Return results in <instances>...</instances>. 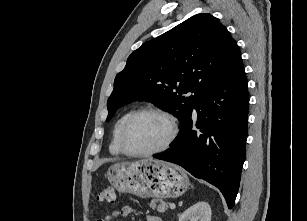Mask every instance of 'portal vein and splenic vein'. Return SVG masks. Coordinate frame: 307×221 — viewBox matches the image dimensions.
I'll return each instance as SVG.
<instances>
[{
  "instance_id": "portal-vein-and-splenic-vein-1",
  "label": "portal vein and splenic vein",
  "mask_w": 307,
  "mask_h": 221,
  "mask_svg": "<svg viewBox=\"0 0 307 221\" xmlns=\"http://www.w3.org/2000/svg\"><path fill=\"white\" fill-rule=\"evenodd\" d=\"M175 207H176V206H175L174 203H171V204H170V209H175Z\"/></svg>"
}]
</instances>
